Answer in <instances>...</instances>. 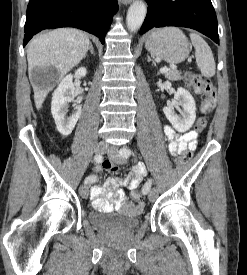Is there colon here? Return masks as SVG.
Segmentation results:
<instances>
[{
  "instance_id": "5ec220e1",
  "label": "colon",
  "mask_w": 247,
  "mask_h": 275,
  "mask_svg": "<svg viewBox=\"0 0 247 275\" xmlns=\"http://www.w3.org/2000/svg\"><path fill=\"white\" fill-rule=\"evenodd\" d=\"M187 78L194 90L203 96V101L201 104L203 116L199 117L195 124V130L200 132L207 127L208 115L216 106L217 90L210 80L205 79L198 74H188ZM191 157V151H184L174 159V163L177 166L184 165L191 159ZM113 167L114 165L109 161H105L103 163V168L106 170H111ZM132 196L137 203L143 202V192L137 190V188L133 190Z\"/></svg>"
}]
</instances>
